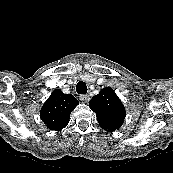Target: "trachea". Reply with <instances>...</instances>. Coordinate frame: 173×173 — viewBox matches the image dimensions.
I'll return each mask as SVG.
<instances>
[{
    "label": "trachea",
    "mask_w": 173,
    "mask_h": 173,
    "mask_svg": "<svg viewBox=\"0 0 173 173\" xmlns=\"http://www.w3.org/2000/svg\"><path fill=\"white\" fill-rule=\"evenodd\" d=\"M76 91L78 94H86L87 86L83 81H79L76 86Z\"/></svg>",
    "instance_id": "obj_1"
}]
</instances>
